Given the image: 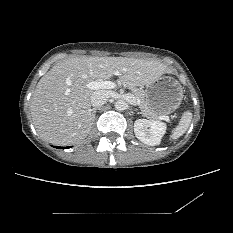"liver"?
<instances>
[{"label": "liver", "mask_w": 233, "mask_h": 233, "mask_svg": "<svg viewBox=\"0 0 233 233\" xmlns=\"http://www.w3.org/2000/svg\"><path fill=\"white\" fill-rule=\"evenodd\" d=\"M171 70L157 60L80 56L56 63L38 82L31 98V115L39 135L66 146L85 139L92 128L87 84L119 75L128 86L150 85Z\"/></svg>", "instance_id": "1"}]
</instances>
